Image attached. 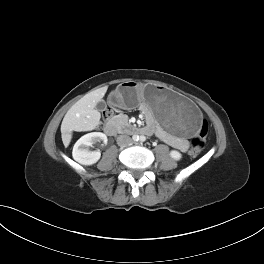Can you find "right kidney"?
<instances>
[{
  "label": "right kidney",
  "instance_id": "ca27d5eb",
  "mask_svg": "<svg viewBox=\"0 0 264 264\" xmlns=\"http://www.w3.org/2000/svg\"><path fill=\"white\" fill-rule=\"evenodd\" d=\"M98 141L107 143V136L101 132H92L82 136L73 147V159L82 165L95 164L100 159L101 153L91 151L89 147Z\"/></svg>",
  "mask_w": 264,
  "mask_h": 264
}]
</instances>
